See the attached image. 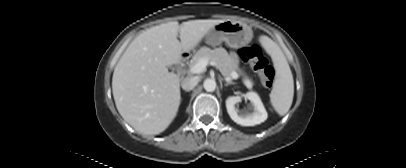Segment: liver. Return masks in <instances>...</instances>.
Masks as SVG:
<instances>
[{
	"label": "liver",
	"mask_w": 406,
	"mask_h": 168,
	"mask_svg": "<svg viewBox=\"0 0 406 168\" xmlns=\"http://www.w3.org/2000/svg\"><path fill=\"white\" fill-rule=\"evenodd\" d=\"M225 20L177 21L138 35L115 66L112 92L123 119L146 135L163 132L180 105V79L168 66L180 62L217 24ZM178 33L180 40L177 39Z\"/></svg>",
	"instance_id": "1"
}]
</instances>
